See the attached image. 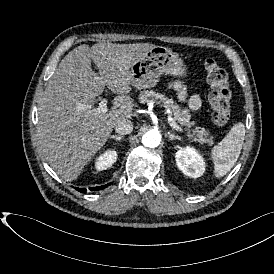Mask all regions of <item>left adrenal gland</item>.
I'll list each match as a JSON object with an SVG mask.
<instances>
[{
	"mask_svg": "<svg viewBox=\"0 0 274 274\" xmlns=\"http://www.w3.org/2000/svg\"><path fill=\"white\" fill-rule=\"evenodd\" d=\"M167 135H168L170 141H174V140L181 141V138L174 136V134L172 132H168Z\"/></svg>",
	"mask_w": 274,
	"mask_h": 274,
	"instance_id": "1",
	"label": "left adrenal gland"
}]
</instances>
